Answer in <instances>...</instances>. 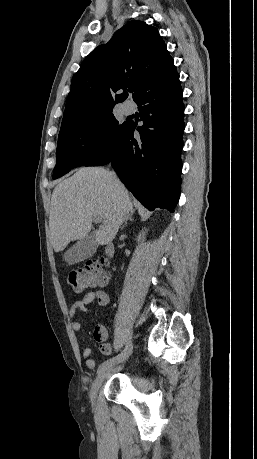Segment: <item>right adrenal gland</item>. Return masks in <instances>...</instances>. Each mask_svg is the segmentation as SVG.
<instances>
[{"mask_svg":"<svg viewBox=\"0 0 257 459\" xmlns=\"http://www.w3.org/2000/svg\"><path fill=\"white\" fill-rule=\"evenodd\" d=\"M132 216H133V214L130 213L125 217L124 222H123V224L121 226V230L127 225L128 221H133L134 220Z\"/></svg>","mask_w":257,"mask_h":459,"instance_id":"2a0ac1e0","label":"right adrenal gland"}]
</instances>
